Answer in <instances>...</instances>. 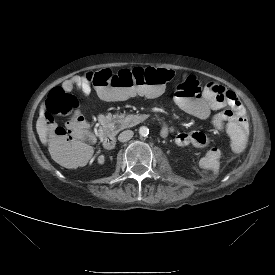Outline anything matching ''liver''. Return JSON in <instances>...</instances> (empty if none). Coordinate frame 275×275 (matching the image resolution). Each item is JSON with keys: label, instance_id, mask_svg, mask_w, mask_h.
<instances>
[{"label": "liver", "instance_id": "1", "mask_svg": "<svg viewBox=\"0 0 275 275\" xmlns=\"http://www.w3.org/2000/svg\"><path fill=\"white\" fill-rule=\"evenodd\" d=\"M45 105L42 104L40 111H39V117L36 123V129H37V133L39 135L40 141L46 145L48 142V126L46 124V118H45Z\"/></svg>", "mask_w": 275, "mask_h": 275}]
</instances>
